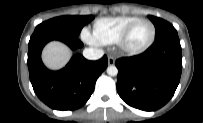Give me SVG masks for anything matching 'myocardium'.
<instances>
[{
	"label": "myocardium",
	"mask_w": 203,
	"mask_h": 123,
	"mask_svg": "<svg viewBox=\"0 0 203 123\" xmlns=\"http://www.w3.org/2000/svg\"><path fill=\"white\" fill-rule=\"evenodd\" d=\"M142 22H146V23L150 24V26L152 28L151 38L144 46H142L140 48L128 47L127 41H128V38H129L132 30L135 28V26L137 24L142 23ZM155 38H156V27H155L154 23L149 19L140 18V19L132 22L129 26L126 27V29L122 32V34L118 38L116 44L122 53H124L126 55H138V54L145 52L147 49H149L150 46L154 43Z\"/></svg>",
	"instance_id": "f54148a6"
}]
</instances>
